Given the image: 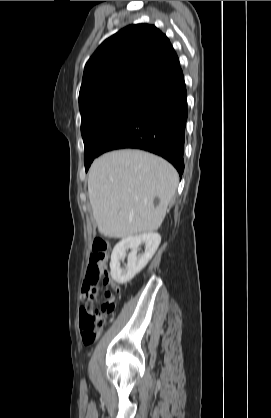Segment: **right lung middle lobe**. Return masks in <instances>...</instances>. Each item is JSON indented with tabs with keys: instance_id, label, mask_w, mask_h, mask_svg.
Here are the masks:
<instances>
[{
	"instance_id": "1",
	"label": "right lung middle lobe",
	"mask_w": 271,
	"mask_h": 418,
	"mask_svg": "<svg viewBox=\"0 0 271 418\" xmlns=\"http://www.w3.org/2000/svg\"><path fill=\"white\" fill-rule=\"evenodd\" d=\"M150 102L137 95L123 94L80 109L86 171L109 137Z\"/></svg>"
}]
</instances>
